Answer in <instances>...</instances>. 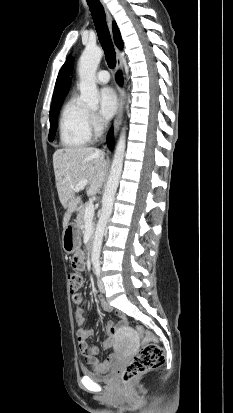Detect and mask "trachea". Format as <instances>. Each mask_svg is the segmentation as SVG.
I'll return each mask as SVG.
<instances>
[{
  "instance_id": "obj_1",
  "label": "trachea",
  "mask_w": 233,
  "mask_h": 413,
  "mask_svg": "<svg viewBox=\"0 0 233 413\" xmlns=\"http://www.w3.org/2000/svg\"><path fill=\"white\" fill-rule=\"evenodd\" d=\"M90 8L92 19L94 21L95 29L101 46L105 53L107 64L110 68L116 65V53L111 40L109 29L106 23V16L104 8L99 0H86Z\"/></svg>"
}]
</instances>
